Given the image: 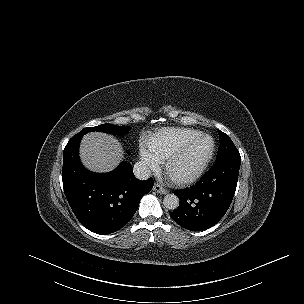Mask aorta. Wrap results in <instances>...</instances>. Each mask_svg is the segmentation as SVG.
I'll return each instance as SVG.
<instances>
[{
  "label": "aorta",
  "instance_id": "aorta-1",
  "mask_svg": "<svg viewBox=\"0 0 304 304\" xmlns=\"http://www.w3.org/2000/svg\"><path fill=\"white\" fill-rule=\"evenodd\" d=\"M164 206L169 210H175L179 206V198L174 194H167L163 199Z\"/></svg>",
  "mask_w": 304,
  "mask_h": 304
}]
</instances>
